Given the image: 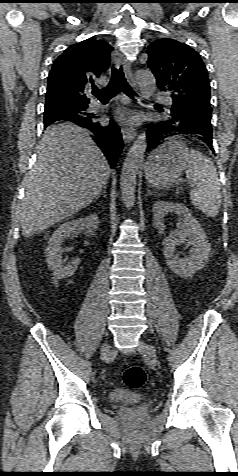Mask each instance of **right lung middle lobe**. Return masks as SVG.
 <instances>
[{
    "label": "right lung middle lobe",
    "instance_id": "1",
    "mask_svg": "<svg viewBox=\"0 0 238 476\" xmlns=\"http://www.w3.org/2000/svg\"><path fill=\"white\" fill-rule=\"evenodd\" d=\"M87 106L71 105V104H54L46 103L44 111L45 124H52L60 121H70L86 117H91L86 112Z\"/></svg>",
    "mask_w": 238,
    "mask_h": 476
}]
</instances>
